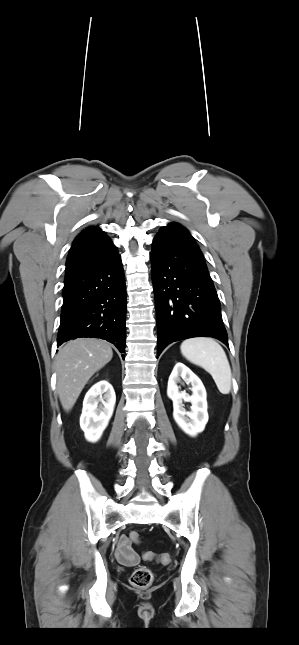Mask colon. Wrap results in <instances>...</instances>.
Segmentation results:
<instances>
[{"mask_svg":"<svg viewBox=\"0 0 299 645\" xmlns=\"http://www.w3.org/2000/svg\"><path fill=\"white\" fill-rule=\"evenodd\" d=\"M129 537L135 543H138L140 540V536L137 532H131ZM143 558L147 561H151L157 558L162 564H168L171 561V555L169 553H161L159 555H156L151 551L145 552L143 554ZM152 580L153 574L146 567L137 568L130 577V583L134 587L141 589L149 587L152 583Z\"/></svg>","mask_w":299,"mask_h":645,"instance_id":"1","label":"colon"}]
</instances>
